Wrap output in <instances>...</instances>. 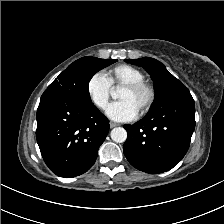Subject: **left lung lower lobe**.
I'll use <instances>...</instances> for the list:
<instances>
[{
    "label": "left lung lower lobe",
    "instance_id": "1",
    "mask_svg": "<svg viewBox=\"0 0 224 224\" xmlns=\"http://www.w3.org/2000/svg\"><path fill=\"white\" fill-rule=\"evenodd\" d=\"M124 128L128 137L123 150L132 166L153 174L168 171L189 148L195 128L194 100L191 95L181 97Z\"/></svg>",
    "mask_w": 224,
    "mask_h": 224
}]
</instances>
